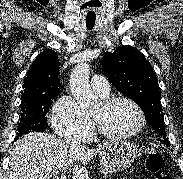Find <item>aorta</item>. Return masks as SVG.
Returning a JSON list of instances; mask_svg holds the SVG:
<instances>
[{
	"label": "aorta",
	"instance_id": "1",
	"mask_svg": "<svg viewBox=\"0 0 183 179\" xmlns=\"http://www.w3.org/2000/svg\"><path fill=\"white\" fill-rule=\"evenodd\" d=\"M89 74V64L80 63L73 69L70 76L72 96L83 112H90L98 105V97L93 94L89 84Z\"/></svg>",
	"mask_w": 183,
	"mask_h": 179
}]
</instances>
